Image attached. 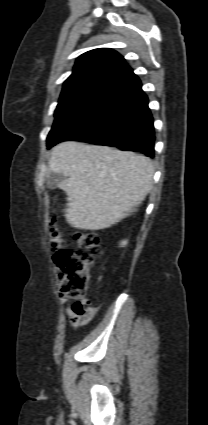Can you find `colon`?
<instances>
[{"label":"colon","instance_id":"colon-1","mask_svg":"<svg viewBox=\"0 0 208 425\" xmlns=\"http://www.w3.org/2000/svg\"><path fill=\"white\" fill-rule=\"evenodd\" d=\"M77 250L65 248L63 233L52 218L49 221L47 244L54 253L53 260L60 279L62 296L75 299L78 309L87 305L90 270L100 252V238L95 232L80 231L75 235Z\"/></svg>","mask_w":208,"mask_h":425}]
</instances>
